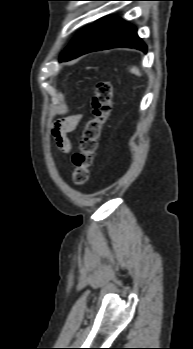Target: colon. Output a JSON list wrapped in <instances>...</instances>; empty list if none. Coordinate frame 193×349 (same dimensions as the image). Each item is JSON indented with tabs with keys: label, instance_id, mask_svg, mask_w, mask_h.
Listing matches in <instances>:
<instances>
[{
	"label": "colon",
	"instance_id": "5ec220e1",
	"mask_svg": "<svg viewBox=\"0 0 193 349\" xmlns=\"http://www.w3.org/2000/svg\"><path fill=\"white\" fill-rule=\"evenodd\" d=\"M113 87L110 81L101 80L95 86L92 100V118L86 123L73 154L72 181L76 186L85 184L89 178L94 154L98 147L101 130L112 111Z\"/></svg>",
	"mask_w": 193,
	"mask_h": 349
}]
</instances>
